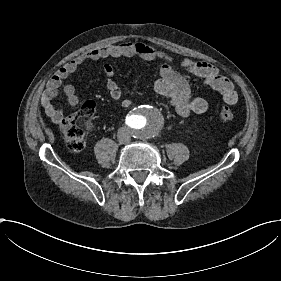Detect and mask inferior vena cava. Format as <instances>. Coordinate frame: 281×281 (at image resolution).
Listing matches in <instances>:
<instances>
[{
    "instance_id": "inferior-vena-cava-1",
    "label": "inferior vena cava",
    "mask_w": 281,
    "mask_h": 281,
    "mask_svg": "<svg viewBox=\"0 0 281 281\" xmlns=\"http://www.w3.org/2000/svg\"><path fill=\"white\" fill-rule=\"evenodd\" d=\"M117 138L119 143L121 144H128L131 141L130 134L125 128H120L117 133Z\"/></svg>"
}]
</instances>
